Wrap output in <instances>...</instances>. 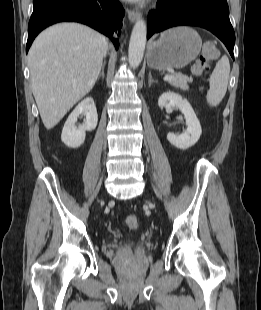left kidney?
Segmentation results:
<instances>
[{"label": "left kidney", "instance_id": "left-kidney-1", "mask_svg": "<svg viewBox=\"0 0 261 310\" xmlns=\"http://www.w3.org/2000/svg\"><path fill=\"white\" fill-rule=\"evenodd\" d=\"M158 105L165 108L177 107L184 114L186 120V130L181 134L169 133L167 135L168 141L173 146L183 150L195 145L201 136L202 129L190 103L181 95L169 91L159 97Z\"/></svg>", "mask_w": 261, "mask_h": 310}]
</instances>
